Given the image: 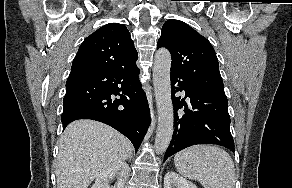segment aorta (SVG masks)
<instances>
[{"label": "aorta", "mask_w": 292, "mask_h": 188, "mask_svg": "<svg viewBox=\"0 0 292 188\" xmlns=\"http://www.w3.org/2000/svg\"><path fill=\"white\" fill-rule=\"evenodd\" d=\"M171 55L165 48L156 51L153 65V85L158 111L155 151L162 154L168 148L174 131V112L170 82Z\"/></svg>", "instance_id": "1"}]
</instances>
